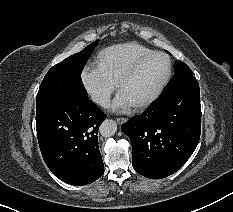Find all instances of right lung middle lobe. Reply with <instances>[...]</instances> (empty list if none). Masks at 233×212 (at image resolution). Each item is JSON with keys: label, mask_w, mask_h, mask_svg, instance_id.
<instances>
[{"label": "right lung middle lobe", "mask_w": 233, "mask_h": 212, "mask_svg": "<svg viewBox=\"0 0 233 212\" xmlns=\"http://www.w3.org/2000/svg\"><path fill=\"white\" fill-rule=\"evenodd\" d=\"M98 40L53 66L45 75L36 101V119L71 96L87 97L81 73Z\"/></svg>", "instance_id": "obj_1"}]
</instances>
